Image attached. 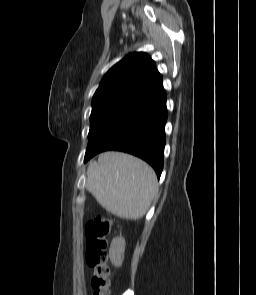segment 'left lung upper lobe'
I'll list each match as a JSON object with an SVG mask.
<instances>
[{"instance_id":"obj_1","label":"left lung upper lobe","mask_w":256,"mask_h":295,"mask_svg":"<svg viewBox=\"0 0 256 295\" xmlns=\"http://www.w3.org/2000/svg\"><path fill=\"white\" fill-rule=\"evenodd\" d=\"M163 91L162 76L151 57L128 54L105 74L93 96L88 147Z\"/></svg>"}]
</instances>
